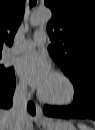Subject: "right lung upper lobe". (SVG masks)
<instances>
[{
  "mask_svg": "<svg viewBox=\"0 0 95 130\" xmlns=\"http://www.w3.org/2000/svg\"><path fill=\"white\" fill-rule=\"evenodd\" d=\"M24 9L25 0H0V55L3 44L12 45Z\"/></svg>",
  "mask_w": 95,
  "mask_h": 130,
  "instance_id": "right-lung-upper-lobe-1",
  "label": "right lung upper lobe"
}]
</instances>
